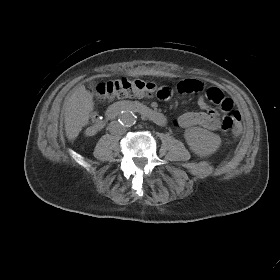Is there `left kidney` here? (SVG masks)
Instances as JSON below:
<instances>
[{
  "label": "left kidney",
  "mask_w": 280,
  "mask_h": 280,
  "mask_svg": "<svg viewBox=\"0 0 280 280\" xmlns=\"http://www.w3.org/2000/svg\"><path fill=\"white\" fill-rule=\"evenodd\" d=\"M184 135L190 149L200 156L213 154L221 144L217 134L200 127L187 129Z\"/></svg>",
  "instance_id": "obj_1"
}]
</instances>
